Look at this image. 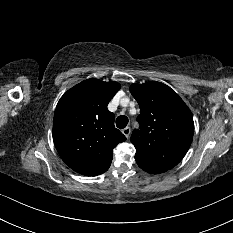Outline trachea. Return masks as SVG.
I'll list each match as a JSON object with an SVG mask.
<instances>
[{
    "label": "trachea",
    "mask_w": 233,
    "mask_h": 233,
    "mask_svg": "<svg viewBox=\"0 0 233 233\" xmlns=\"http://www.w3.org/2000/svg\"><path fill=\"white\" fill-rule=\"evenodd\" d=\"M128 124V118L124 115L118 116L116 119V126L119 129H123L127 126Z\"/></svg>",
    "instance_id": "trachea-1"
}]
</instances>
